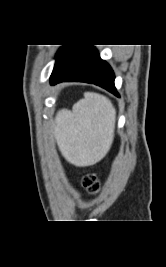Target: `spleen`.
I'll return each mask as SVG.
<instances>
[{"label":"spleen","mask_w":166,"mask_h":267,"mask_svg":"<svg viewBox=\"0 0 166 267\" xmlns=\"http://www.w3.org/2000/svg\"><path fill=\"white\" fill-rule=\"evenodd\" d=\"M116 110L98 93L85 92L72 111L61 110L55 119V133L62 155L75 166L99 162L110 150L114 138Z\"/></svg>","instance_id":"1"}]
</instances>
